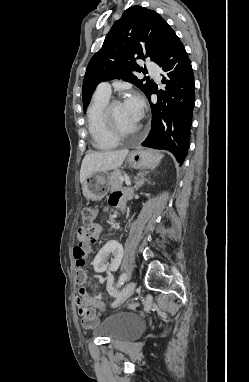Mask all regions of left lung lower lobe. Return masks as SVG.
I'll return each mask as SVG.
<instances>
[{
  "label": "left lung lower lobe",
  "mask_w": 249,
  "mask_h": 382,
  "mask_svg": "<svg viewBox=\"0 0 249 382\" xmlns=\"http://www.w3.org/2000/svg\"><path fill=\"white\" fill-rule=\"evenodd\" d=\"M158 65L167 72L162 79L166 90L157 91L153 86L146 95L149 98L150 94L156 93L158 100L156 103L149 100L152 127L142 145L168 150L182 163L189 146L195 87L188 54L178 37Z\"/></svg>",
  "instance_id": "obj_1"
}]
</instances>
